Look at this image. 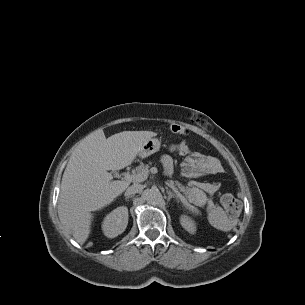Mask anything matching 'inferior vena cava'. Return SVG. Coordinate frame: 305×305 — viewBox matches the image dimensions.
I'll return each instance as SVG.
<instances>
[{"label": "inferior vena cava", "instance_id": "obj_1", "mask_svg": "<svg viewBox=\"0 0 305 305\" xmlns=\"http://www.w3.org/2000/svg\"><path fill=\"white\" fill-rule=\"evenodd\" d=\"M142 190H143V185L134 184L127 188L125 195L126 196L134 195L136 193L141 192Z\"/></svg>", "mask_w": 305, "mask_h": 305}]
</instances>
